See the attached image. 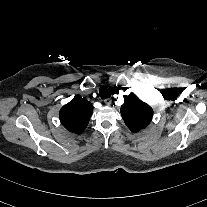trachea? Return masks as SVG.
I'll list each match as a JSON object with an SVG mask.
<instances>
[{"mask_svg":"<svg viewBox=\"0 0 207 207\" xmlns=\"http://www.w3.org/2000/svg\"><path fill=\"white\" fill-rule=\"evenodd\" d=\"M99 95L102 99H105V98L110 97L111 94L105 87H101L99 89Z\"/></svg>","mask_w":207,"mask_h":207,"instance_id":"trachea-1","label":"trachea"}]
</instances>
